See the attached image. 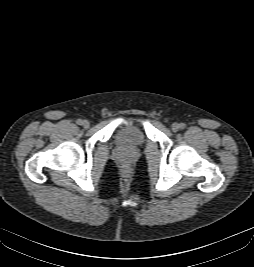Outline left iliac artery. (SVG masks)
Wrapping results in <instances>:
<instances>
[{
    "mask_svg": "<svg viewBox=\"0 0 254 267\" xmlns=\"http://www.w3.org/2000/svg\"><path fill=\"white\" fill-rule=\"evenodd\" d=\"M185 126H186V125H185L184 123H180V124H179V128H180V129H184Z\"/></svg>",
    "mask_w": 254,
    "mask_h": 267,
    "instance_id": "44dca946",
    "label": "left iliac artery"
}]
</instances>
